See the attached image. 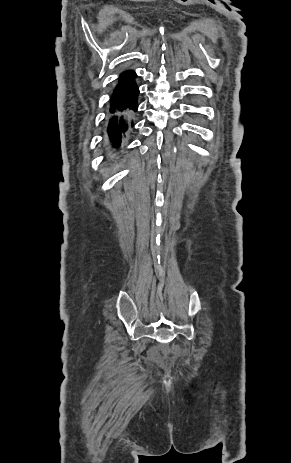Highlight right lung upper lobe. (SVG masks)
<instances>
[{"instance_id": "right-lung-upper-lobe-1", "label": "right lung upper lobe", "mask_w": 291, "mask_h": 463, "mask_svg": "<svg viewBox=\"0 0 291 463\" xmlns=\"http://www.w3.org/2000/svg\"><path fill=\"white\" fill-rule=\"evenodd\" d=\"M126 73H132V71L126 72ZM119 91H120V89H115L114 92H113V94H117Z\"/></svg>"}]
</instances>
